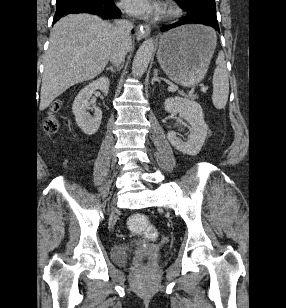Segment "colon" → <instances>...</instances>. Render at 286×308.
I'll return each mask as SVG.
<instances>
[{
    "instance_id": "colon-1",
    "label": "colon",
    "mask_w": 286,
    "mask_h": 308,
    "mask_svg": "<svg viewBox=\"0 0 286 308\" xmlns=\"http://www.w3.org/2000/svg\"><path fill=\"white\" fill-rule=\"evenodd\" d=\"M60 107L61 102L54 101L50 106L51 113L44 120V132L48 136L55 134L59 129V122L55 117L54 113H56L60 109ZM128 225L133 231L141 233L150 239H155L157 237L156 230L150 225L149 220L146 218V216L142 214L132 215L128 221ZM146 262L147 259L144 258L143 264L145 265Z\"/></svg>"
}]
</instances>
